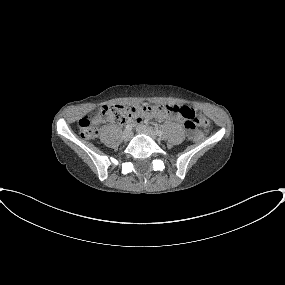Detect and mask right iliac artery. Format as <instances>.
<instances>
[{
	"label": "right iliac artery",
	"instance_id": "1",
	"mask_svg": "<svg viewBox=\"0 0 285 285\" xmlns=\"http://www.w3.org/2000/svg\"><path fill=\"white\" fill-rule=\"evenodd\" d=\"M132 127H133L132 124H127V125L125 126L126 130H128V131L131 130Z\"/></svg>",
	"mask_w": 285,
	"mask_h": 285
}]
</instances>
